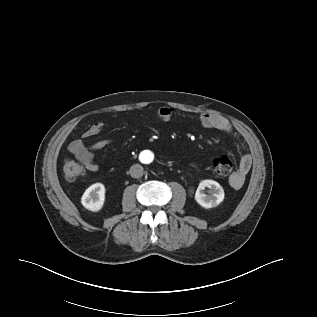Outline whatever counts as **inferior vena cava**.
I'll use <instances>...</instances> for the list:
<instances>
[{
	"label": "inferior vena cava",
	"instance_id": "inferior-vena-cava-1",
	"mask_svg": "<svg viewBox=\"0 0 317 317\" xmlns=\"http://www.w3.org/2000/svg\"><path fill=\"white\" fill-rule=\"evenodd\" d=\"M143 167L140 164H134L130 167L129 173L133 178H139L143 175Z\"/></svg>",
	"mask_w": 317,
	"mask_h": 317
}]
</instances>
